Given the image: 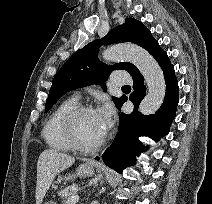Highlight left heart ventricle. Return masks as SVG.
Instances as JSON below:
<instances>
[{
	"instance_id": "b2bd125f",
	"label": "left heart ventricle",
	"mask_w": 212,
	"mask_h": 204,
	"mask_svg": "<svg viewBox=\"0 0 212 204\" xmlns=\"http://www.w3.org/2000/svg\"><path fill=\"white\" fill-rule=\"evenodd\" d=\"M75 131L78 141L83 145H92L105 134L98 111L82 115L76 122Z\"/></svg>"
}]
</instances>
